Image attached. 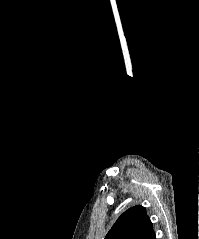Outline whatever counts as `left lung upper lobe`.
I'll return each mask as SVG.
<instances>
[{"label":"left lung upper lobe","mask_w":199,"mask_h":239,"mask_svg":"<svg viewBox=\"0 0 199 239\" xmlns=\"http://www.w3.org/2000/svg\"><path fill=\"white\" fill-rule=\"evenodd\" d=\"M105 239H155L150 218L141 205L126 210L117 219Z\"/></svg>","instance_id":"obj_1"}]
</instances>
